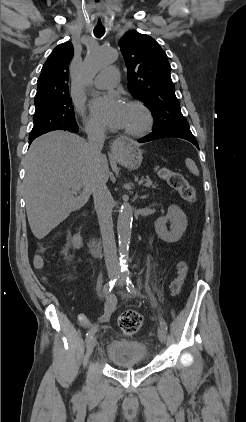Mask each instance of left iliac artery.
Wrapping results in <instances>:
<instances>
[{"mask_svg":"<svg viewBox=\"0 0 246 422\" xmlns=\"http://www.w3.org/2000/svg\"><path fill=\"white\" fill-rule=\"evenodd\" d=\"M125 278H126V288L128 292L131 293L132 295H135L136 289L132 282L131 275L128 270H125ZM160 326L163 328L165 332H167V329H168L167 323L165 322L163 318H160Z\"/></svg>","mask_w":246,"mask_h":422,"instance_id":"obj_1","label":"left iliac artery"}]
</instances>
